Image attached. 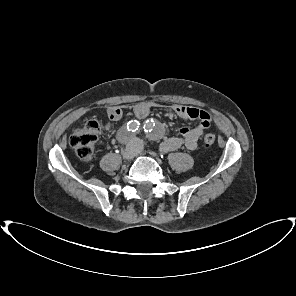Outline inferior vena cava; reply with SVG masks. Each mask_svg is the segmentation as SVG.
<instances>
[{
  "label": "inferior vena cava",
  "mask_w": 296,
  "mask_h": 296,
  "mask_svg": "<svg viewBox=\"0 0 296 296\" xmlns=\"http://www.w3.org/2000/svg\"><path fill=\"white\" fill-rule=\"evenodd\" d=\"M131 144L133 145V146H141L142 145V141L139 139V138H133L132 140H131Z\"/></svg>",
  "instance_id": "inferior-vena-cava-1"
}]
</instances>
